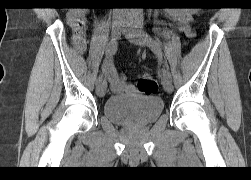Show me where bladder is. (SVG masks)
<instances>
[{
	"label": "bladder",
	"instance_id": "obj_1",
	"mask_svg": "<svg viewBox=\"0 0 251 180\" xmlns=\"http://www.w3.org/2000/svg\"><path fill=\"white\" fill-rule=\"evenodd\" d=\"M163 109V100L155 95H112L104 103L103 114L118 125L145 126L154 123Z\"/></svg>",
	"mask_w": 251,
	"mask_h": 180
}]
</instances>
